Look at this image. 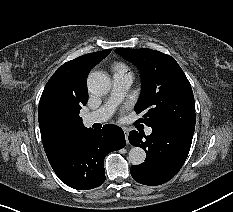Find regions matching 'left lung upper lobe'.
<instances>
[{"label": "left lung upper lobe", "mask_w": 233, "mask_h": 212, "mask_svg": "<svg viewBox=\"0 0 233 212\" xmlns=\"http://www.w3.org/2000/svg\"><path fill=\"white\" fill-rule=\"evenodd\" d=\"M115 51L141 72L142 93L135 111L145 115L137 123H145L152 129L167 127L194 132L192 88L175 59L151 49L117 48Z\"/></svg>", "instance_id": "5c2ea615"}]
</instances>
